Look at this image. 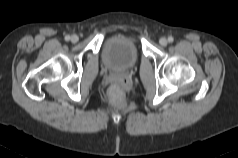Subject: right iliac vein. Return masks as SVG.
I'll return each mask as SVG.
<instances>
[{"label": "right iliac vein", "mask_w": 238, "mask_h": 158, "mask_svg": "<svg viewBox=\"0 0 238 158\" xmlns=\"http://www.w3.org/2000/svg\"><path fill=\"white\" fill-rule=\"evenodd\" d=\"M78 36L77 35H73L72 37H71V42H73V43H75V42H77L78 41Z\"/></svg>", "instance_id": "63e3f726"}]
</instances>
